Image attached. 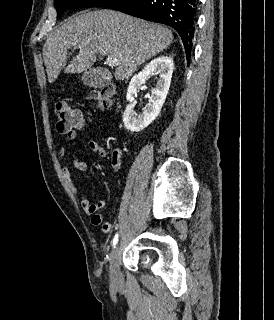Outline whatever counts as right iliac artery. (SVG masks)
Wrapping results in <instances>:
<instances>
[{
    "mask_svg": "<svg viewBox=\"0 0 274 320\" xmlns=\"http://www.w3.org/2000/svg\"><path fill=\"white\" fill-rule=\"evenodd\" d=\"M117 242H118V233L115 234V236H114V238L112 240V245L115 246Z\"/></svg>",
    "mask_w": 274,
    "mask_h": 320,
    "instance_id": "right-iliac-artery-1",
    "label": "right iliac artery"
}]
</instances>
